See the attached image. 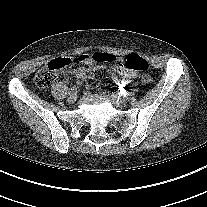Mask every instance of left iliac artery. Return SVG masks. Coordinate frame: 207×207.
Returning a JSON list of instances; mask_svg holds the SVG:
<instances>
[{
	"mask_svg": "<svg viewBox=\"0 0 207 207\" xmlns=\"http://www.w3.org/2000/svg\"><path fill=\"white\" fill-rule=\"evenodd\" d=\"M118 96H121L122 98H127V95H125L124 92H118Z\"/></svg>",
	"mask_w": 207,
	"mask_h": 207,
	"instance_id": "44dca946",
	"label": "left iliac artery"
}]
</instances>
